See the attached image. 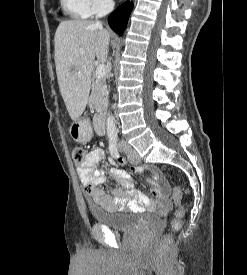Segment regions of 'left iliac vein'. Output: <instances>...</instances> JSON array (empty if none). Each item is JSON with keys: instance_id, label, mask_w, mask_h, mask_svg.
<instances>
[{"instance_id": "4c4485c4", "label": "left iliac vein", "mask_w": 247, "mask_h": 275, "mask_svg": "<svg viewBox=\"0 0 247 275\" xmlns=\"http://www.w3.org/2000/svg\"><path fill=\"white\" fill-rule=\"evenodd\" d=\"M122 147L128 151V160L130 163L138 164L140 162L139 155L135 150H133L131 147H129L126 144H124Z\"/></svg>"}]
</instances>
